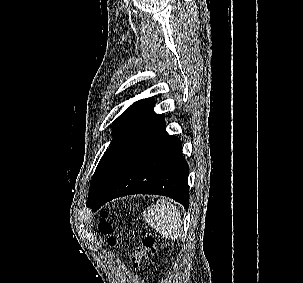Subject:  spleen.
<instances>
[{
  "mask_svg": "<svg viewBox=\"0 0 303 283\" xmlns=\"http://www.w3.org/2000/svg\"><path fill=\"white\" fill-rule=\"evenodd\" d=\"M143 218L145 222L169 240H177L181 235L180 211L166 199H159L155 205L148 207L143 213Z\"/></svg>",
  "mask_w": 303,
  "mask_h": 283,
  "instance_id": "3e777b00",
  "label": "spleen"
}]
</instances>
